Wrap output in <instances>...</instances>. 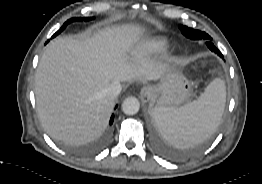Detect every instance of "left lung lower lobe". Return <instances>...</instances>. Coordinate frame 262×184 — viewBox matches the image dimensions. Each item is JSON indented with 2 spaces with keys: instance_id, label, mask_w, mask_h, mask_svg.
I'll list each match as a JSON object with an SVG mask.
<instances>
[{
  "instance_id": "0a47b994",
  "label": "left lung lower lobe",
  "mask_w": 262,
  "mask_h": 184,
  "mask_svg": "<svg viewBox=\"0 0 262 184\" xmlns=\"http://www.w3.org/2000/svg\"><path fill=\"white\" fill-rule=\"evenodd\" d=\"M206 44L210 50L217 53L220 57L223 58V55L221 54V52L213 45L211 41H207ZM155 144H156L158 151L168 158H186L188 156H191L197 153L200 150L199 149L200 147H199L198 149H193L190 151H172L170 149L163 147L158 141H155Z\"/></svg>"
}]
</instances>
